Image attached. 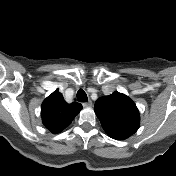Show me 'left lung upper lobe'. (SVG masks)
I'll use <instances>...</instances> for the list:
<instances>
[{"mask_svg": "<svg viewBox=\"0 0 176 176\" xmlns=\"http://www.w3.org/2000/svg\"><path fill=\"white\" fill-rule=\"evenodd\" d=\"M94 111L106 133L113 139L124 140L139 128L140 115L135 103L117 91L99 98Z\"/></svg>", "mask_w": 176, "mask_h": 176, "instance_id": "obj_1", "label": "left lung upper lobe"}]
</instances>
